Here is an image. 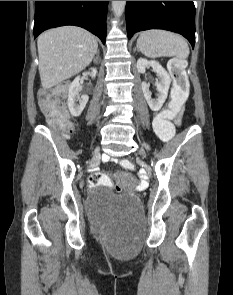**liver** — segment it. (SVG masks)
<instances>
[{
  "label": "liver",
  "instance_id": "liver-1",
  "mask_svg": "<svg viewBox=\"0 0 233 295\" xmlns=\"http://www.w3.org/2000/svg\"><path fill=\"white\" fill-rule=\"evenodd\" d=\"M41 85L47 90L85 69L97 53L96 37L76 26L43 32L37 40Z\"/></svg>",
  "mask_w": 233,
  "mask_h": 295
}]
</instances>
